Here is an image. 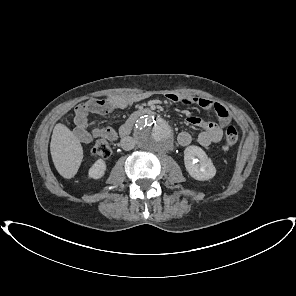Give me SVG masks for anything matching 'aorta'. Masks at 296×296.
Wrapping results in <instances>:
<instances>
[{
	"instance_id": "aorta-1",
	"label": "aorta",
	"mask_w": 296,
	"mask_h": 296,
	"mask_svg": "<svg viewBox=\"0 0 296 296\" xmlns=\"http://www.w3.org/2000/svg\"><path fill=\"white\" fill-rule=\"evenodd\" d=\"M135 138L142 149L154 153H165L173 145L171 126L152 115L143 116L138 120Z\"/></svg>"
}]
</instances>
